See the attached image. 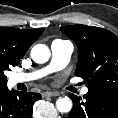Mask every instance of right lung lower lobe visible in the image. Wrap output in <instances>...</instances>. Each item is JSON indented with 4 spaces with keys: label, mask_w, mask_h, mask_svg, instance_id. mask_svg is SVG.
Returning <instances> with one entry per match:
<instances>
[{
    "label": "right lung lower lobe",
    "mask_w": 118,
    "mask_h": 118,
    "mask_svg": "<svg viewBox=\"0 0 118 118\" xmlns=\"http://www.w3.org/2000/svg\"><path fill=\"white\" fill-rule=\"evenodd\" d=\"M41 99L39 93L0 89V118H30L33 105Z\"/></svg>",
    "instance_id": "1"
}]
</instances>
